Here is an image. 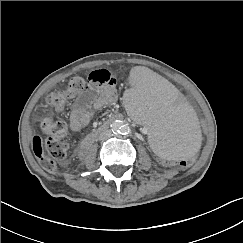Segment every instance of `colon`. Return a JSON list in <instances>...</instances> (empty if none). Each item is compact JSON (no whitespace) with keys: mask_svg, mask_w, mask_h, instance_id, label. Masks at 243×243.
Listing matches in <instances>:
<instances>
[{"mask_svg":"<svg viewBox=\"0 0 243 243\" xmlns=\"http://www.w3.org/2000/svg\"><path fill=\"white\" fill-rule=\"evenodd\" d=\"M114 82V76L106 69L96 70L86 79L80 76L73 77L69 80L65 88L51 92L47 98L45 110L62 109L68 100L84 92L91 84L111 85ZM41 129L44 133L48 134L49 137L46 142L43 143L41 137L35 135L32 138V149L41 167L47 172L56 173L58 171L57 162L62 161L66 157L69 149V144L64 138L67 126L63 121L45 116L41 121ZM144 154L151 162H154L160 167L166 166L168 169H171L173 166L177 169H188L198 163L197 152H192L187 160L159 159L153 155L149 149H146Z\"/></svg>","mask_w":243,"mask_h":243,"instance_id":"5ec220e1","label":"colon"}]
</instances>
